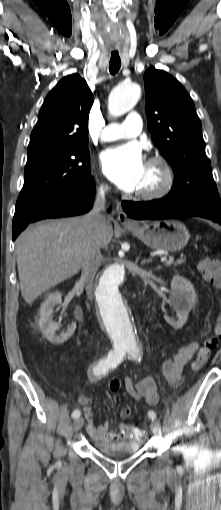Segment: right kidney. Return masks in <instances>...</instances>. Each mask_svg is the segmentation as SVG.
Masks as SVG:
<instances>
[{
    "instance_id": "1",
    "label": "right kidney",
    "mask_w": 221,
    "mask_h": 510,
    "mask_svg": "<svg viewBox=\"0 0 221 510\" xmlns=\"http://www.w3.org/2000/svg\"><path fill=\"white\" fill-rule=\"evenodd\" d=\"M62 301L61 293L54 292L49 294L48 298L41 304L39 310V328L43 335L53 344H62L67 341L75 332L76 323H71L67 330L60 335L56 334L58 324L53 321V309Z\"/></svg>"
}]
</instances>
